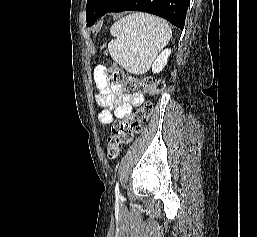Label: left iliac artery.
I'll use <instances>...</instances> for the list:
<instances>
[{
    "label": "left iliac artery",
    "mask_w": 257,
    "mask_h": 237,
    "mask_svg": "<svg viewBox=\"0 0 257 237\" xmlns=\"http://www.w3.org/2000/svg\"><path fill=\"white\" fill-rule=\"evenodd\" d=\"M115 195L117 197H121L120 191H119V183L118 182L116 183V186H115Z\"/></svg>",
    "instance_id": "44dca946"
}]
</instances>
